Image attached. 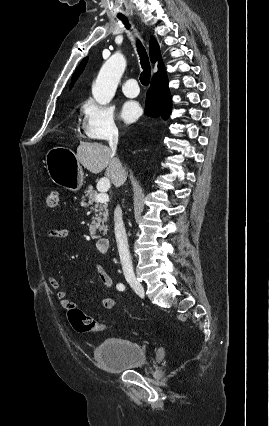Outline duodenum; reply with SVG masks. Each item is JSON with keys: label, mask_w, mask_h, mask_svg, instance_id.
<instances>
[{"label": "duodenum", "mask_w": 269, "mask_h": 426, "mask_svg": "<svg viewBox=\"0 0 269 426\" xmlns=\"http://www.w3.org/2000/svg\"><path fill=\"white\" fill-rule=\"evenodd\" d=\"M96 247L98 251L102 254H106L110 248V240L109 238L103 237L97 240Z\"/></svg>", "instance_id": "obj_1"}]
</instances>
